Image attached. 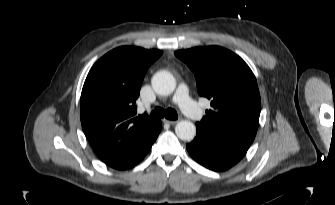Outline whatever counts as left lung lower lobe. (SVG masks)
I'll list each match as a JSON object with an SVG mask.
<instances>
[{
    "label": "left lung lower lobe",
    "mask_w": 335,
    "mask_h": 205,
    "mask_svg": "<svg viewBox=\"0 0 335 205\" xmlns=\"http://www.w3.org/2000/svg\"><path fill=\"white\" fill-rule=\"evenodd\" d=\"M197 136L186 145L190 155L204 167L214 171H225L245 155L249 143L226 138L196 123Z\"/></svg>",
    "instance_id": "0a47b994"
}]
</instances>
